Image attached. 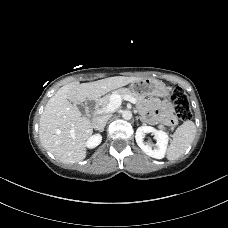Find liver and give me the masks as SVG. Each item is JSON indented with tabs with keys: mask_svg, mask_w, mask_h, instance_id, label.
<instances>
[{
	"mask_svg": "<svg viewBox=\"0 0 228 228\" xmlns=\"http://www.w3.org/2000/svg\"><path fill=\"white\" fill-rule=\"evenodd\" d=\"M141 78L115 76L61 87L47 102L39 122L42 146L62 163L74 164L85 159L86 141L93 133L91 120L82 117L75 104L95 100L106 93Z\"/></svg>",
	"mask_w": 228,
	"mask_h": 228,
	"instance_id": "1",
	"label": "liver"
}]
</instances>
